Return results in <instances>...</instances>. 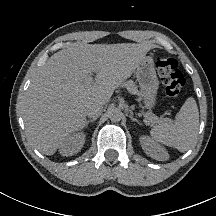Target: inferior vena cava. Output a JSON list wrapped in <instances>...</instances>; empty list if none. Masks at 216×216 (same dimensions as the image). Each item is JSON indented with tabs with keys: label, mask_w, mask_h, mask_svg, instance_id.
<instances>
[{
	"label": "inferior vena cava",
	"mask_w": 216,
	"mask_h": 216,
	"mask_svg": "<svg viewBox=\"0 0 216 216\" xmlns=\"http://www.w3.org/2000/svg\"><path fill=\"white\" fill-rule=\"evenodd\" d=\"M103 111V105L100 103H92L86 108V115L88 117H99Z\"/></svg>",
	"instance_id": "1"
}]
</instances>
